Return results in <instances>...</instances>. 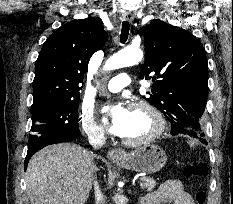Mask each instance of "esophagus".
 Masks as SVG:
<instances>
[{"label":"esophagus","instance_id":"34e87169","mask_svg":"<svg viewBox=\"0 0 233 204\" xmlns=\"http://www.w3.org/2000/svg\"><path fill=\"white\" fill-rule=\"evenodd\" d=\"M122 17L128 22L133 21V16L128 12L123 13ZM107 156L112 161H120L126 157V151L122 148H114L108 151Z\"/></svg>","mask_w":233,"mask_h":204}]
</instances>
